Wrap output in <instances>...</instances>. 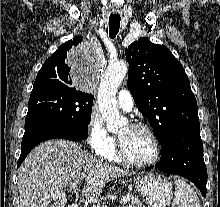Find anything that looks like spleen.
Wrapping results in <instances>:
<instances>
[{"mask_svg": "<svg viewBox=\"0 0 220 207\" xmlns=\"http://www.w3.org/2000/svg\"><path fill=\"white\" fill-rule=\"evenodd\" d=\"M175 197L172 207H200L199 198L185 181L175 180Z\"/></svg>", "mask_w": 220, "mask_h": 207, "instance_id": "obj_1", "label": "spleen"}]
</instances>
